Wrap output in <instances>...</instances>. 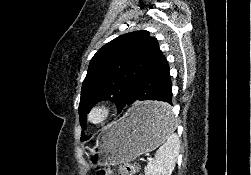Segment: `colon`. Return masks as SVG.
Returning a JSON list of instances; mask_svg holds the SVG:
<instances>
[{
    "instance_id": "obj_1",
    "label": "colon",
    "mask_w": 251,
    "mask_h": 175,
    "mask_svg": "<svg viewBox=\"0 0 251 175\" xmlns=\"http://www.w3.org/2000/svg\"><path fill=\"white\" fill-rule=\"evenodd\" d=\"M96 175H142V173L140 164L133 161L99 169Z\"/></svg>"
}]
</instances>
